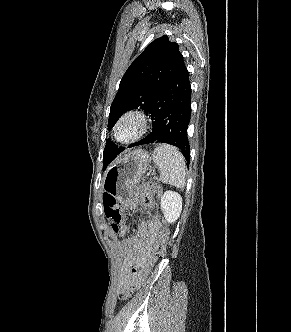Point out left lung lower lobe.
Instances as JSON below:
<instances>
[{
	"mask_svg": "<svg viewBox=\"0 0 291 332\" xmlns=\"http://www.w3.org/2000/svg\"><path fill=\"white\" fill-rule=\"evenodd\" d=\"M148 113L153 120L152 132L129 147L151 142L167 143L179 148L189 163L190 146L187 129L191 119V85L183 58L164 89L154 99ZM123 150L124 148H120L116 156Z\"/></svg>",
	"mask_w": 291,
	"mask_h": 332,
	"instance_id": "obj_1",
	"label": "left lung lower lobe"
}]
</instances>
